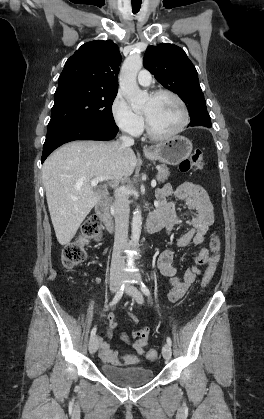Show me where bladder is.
Returning a JSON list of instances; mask_svg holds the SVG:
<instances>
[{"label": "bladder", "mask_w": 264, "mask_h": 419, "mask_svg": "<svg viewBox=\"0 0 264 419\" xmlns=\"http://www.w3.org/2000/svg\"><path fill=\"white\" fill-rule=\"evenodd\" d=\"M101 372L107 379L121 387H139L149 383L154 377L153 370L144 366L119 367L102 364Z\"/></svg>", "instance_id": "obj_1"}]
</instances>
